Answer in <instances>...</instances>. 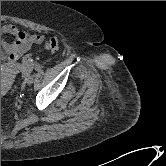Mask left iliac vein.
Wrapping results in <instances>:
<instances>
[{"label": "left iliac vein", "mask_w": 166, "mask_h": 166, "mask_svg": "<svg viewBox=\"0 0 166 166\" xmlns=\"http://www.w3.org/2000/svg\"><path fill=\"white\" fill-rule=\"evenodd\" d=\"M33 82H34V77L32 75L28 76L25 79V83L28 84V85H31Z\"/></svg>", "instance_id": "obj_1"}]
</instances>
